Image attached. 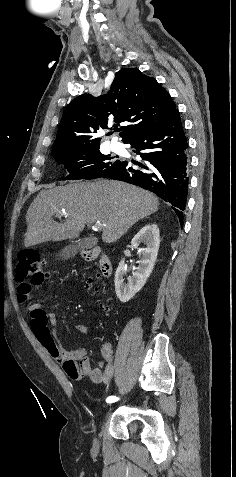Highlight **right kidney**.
<instances>
[{
    "label": "right kidney",
    "mask_w": 236,
    "mask_h": 477,
    "mask_svg": "<svg viewBox=\"0 0 236 477\" xmlns=\"http://www.w3.org/2000/svg\"><path fill=\"white\" fill-rule=\"evenodd\" d=\"M140 243H144L146 248L139 249L142 254L139 267L133 272L132 276L128 277V283L124 282V275L127 270L124 259L120 261L115 273V292L123 303L128 302L141 290L154 268L160 245L159 228L156 224L144 226L131 241L134 248H138Z\"/></svg>",
    "instance_id": "ca27d5eb"
}]
</instances>
